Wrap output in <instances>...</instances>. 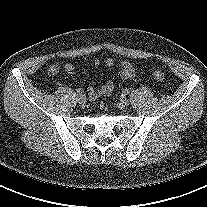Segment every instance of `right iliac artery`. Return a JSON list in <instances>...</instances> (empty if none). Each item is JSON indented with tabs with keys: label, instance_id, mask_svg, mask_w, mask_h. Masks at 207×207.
<instances>
[{
	"label": "right iliac artery",
	"instance_id": "1",
	"mask_svg": "<svg viewBox=\"0 0 207 207\" xmlns=\"http://www.w3.org/2000/svg\"><path fill=\"white\" fill-rule=\"evenodd\" d=\"M76 91H77L78 95H82V93H83V90L81 88H78Z\"/></svg>",
	"mask_w": 207,
	"mask_h": 207
}]
</instances>
